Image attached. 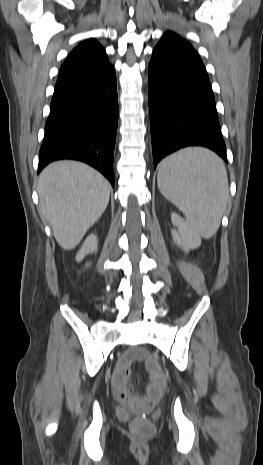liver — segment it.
<instances>
[{
    "label": "liver",
    "instance_id": "liver-1",
    "mask_svg": "<svg viewBox=\"0 0 263 465\" xmlns=\"http://www.w3.org/2000/svg\"><path fill=\"white\" fill-rule=\"evenodd\" d=\"M110 188L102 174L84 163L57 161L43 169L38 181L41 215L63 249L75 248L101 217Z\"/></svg>",
    "mask_w": 263,
    "mask_h": 465
}]
</instances>
